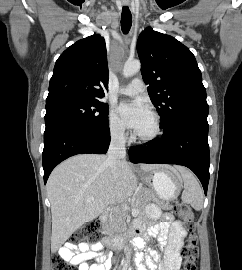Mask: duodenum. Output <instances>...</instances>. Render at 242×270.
<instances>
[{"instance_id": "1", "label": "duodenum", "mask_w": 242, "mask_h": 270, "mask_svg": "<svg viewBox=\"0 0 242 270\" xmlns=\"http://www.w3.org/2000/svg\"><path fill=\"white\" fill-rule=\"evenodd\" d=\"M109 218V211H105L100 215V220L103 223H106ZM134 228L131 229L128 233L123 235H114L104 240V243L107 244L110 248L116 250L124 247L127 243H131L135 236Z\"/></svg>"}]
</instances>
